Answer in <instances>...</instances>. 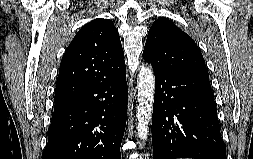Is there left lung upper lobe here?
Segmentation results:
<instances>
[{
	"label": "left lung upper lobe",
	"mask_w": 253,
	"mask_h": 159,
	"mask_svg": "<svg viewBox=\"0 0 253 159\" xmlns=\"http://www.w3.org/2000/svg\"><path fill=\"white\" fill-rule=\"evenodd\" d=\"M143 58L153 69L209 77L203 56L193 39L166 18L151 26Z\"/></svg>",
	"instance_id": "5c2ea615"
}]
</instances>
